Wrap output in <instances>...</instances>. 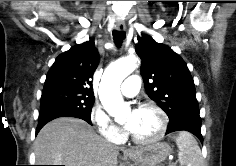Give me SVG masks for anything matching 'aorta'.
Listing matches in <instances>:
<instances>
[{"instance_id": "obj_1", "label": "aorta", "mask_w": 236, "mask_h": 166, "mask_svg": "<svg viewBox=\"0 0 236 166\" xmlns=\"http://www.w3.org/2000/svg\"><path fill=\"white\" fill-rule=\"evenodd\" d=\"M137 68V59L133 56L122 58L108 66L99 87L100 101L113 117H118L130 110L120 93L122 81Z\"/></svg>"}]
</instances>
